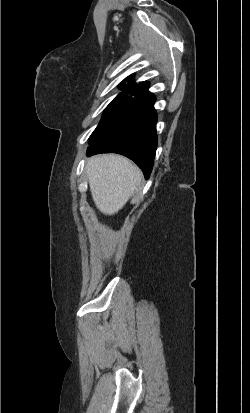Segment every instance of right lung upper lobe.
I'll use <instances>...</instances> for the list:
<instances>
[{"label": "right lung upper lobe", "instance_id": "1", "mask_svg": "<svg viewBox=\"0 0 250 413\" xmlns=\"http://www.w3.org/2000/svg\"><path fill=\"white\" fill-rule=\"evenodd\" d=\"M126 80L129 84L127 86L124 83L120 85V88H122L121 94H132L136 97L150 95L148 82H142L141 84L131 83L132 77H128Z\"/></svg>", "mask_w": 250, "mask_h": 413}]
</instances>
